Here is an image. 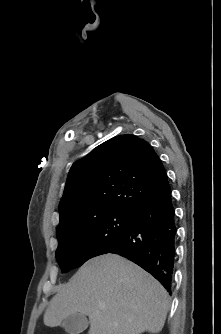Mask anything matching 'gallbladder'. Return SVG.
Returning <instances> with one entry per match:
<instances>
[{"label": "gallbladder", "instance_id": "obj_1", "mask_svg": "<svg viewBox=\"0 0 221 334\" xmlns=\"http://www.w3.org/2000/svg\"><path fill=\"white\" fill-rule=\"evenodd\" d=\"M88 327V320L85 315L76 313L68 316L63 321V328L68 334H80Z\"/></svg>", "mask_w": 221, "mask_h": 334}]
</instances>
